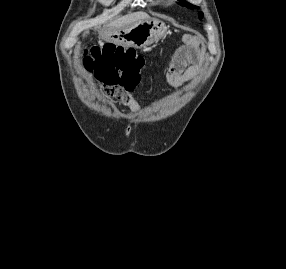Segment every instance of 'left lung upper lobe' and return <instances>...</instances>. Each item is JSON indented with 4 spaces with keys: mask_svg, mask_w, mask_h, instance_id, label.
Here are the masks:
<instances>
[{
    "mask_svg": "<svg viewBox=\"0 0 286 269\" xmlns=\"http://www.w3.org/2000/svg\"><path fill=\"white\" fill-rule=\"evenodd\" d=\"M180 2H181L183 5L187 6L188 8H191V9L198 8V7H196V6H194V5H191V4H189V3H187V2H185V1H183V0H180ZM199 17H200V19L203 17V13H202V12L199 13Z\"/></svg>",
    "mask_w": 286,
    "mask_h": 269,
    "instance_id": "1",
    "label": "left lung upper lobe"
}]
</instances>
